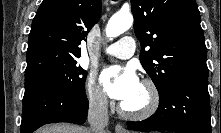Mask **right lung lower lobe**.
Listing matches in <instances>:
<instances>
[{"label": "right lung lower lobe", "instance_id": "right-lung-lower-lobe-1", "mask_svg": "<svg viewBox=\"0 0 221 133\" xmlns=\"http://www.w3.org/2000/svg\"><path fill=\"white\" fill-rule=\"evenodd\" d=\"M88 106L85 90L73 92L44 79L25 78L21 133H32L47 123L83 124Z\"/></svg>", "mask_w": 221, "mask_h": 133}]
</instances>
